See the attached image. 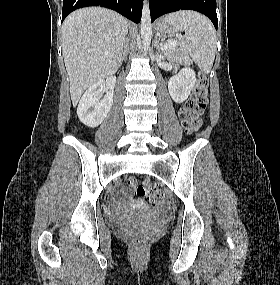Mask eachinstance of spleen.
Masks as SVG:
<instances>
[{
	"mask_svg": "<svg viewBox=\"0 0 280 285\" xmlns=\"http://www.w3.org/2000/svg\"><path fill=\"white\" fill-rule=\"evenodd\" d=\"M165 21L185 32V38L178 35L181 47L202 72L210 73L216 52V34L210 20L194 11H179L167 15Z\"/></svg>",
	"mask_w": 280,
	"mask_h": 285,
	"instance_id": "spleen-1",
	"label": "spleen"
}]
</instances>
